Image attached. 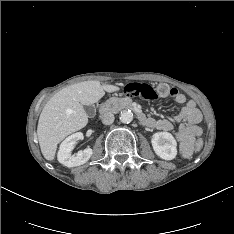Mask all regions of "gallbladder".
I'll list each match as a JSON object with an SVG mask.
<instances>
[{
	"label": "gallbladder",
	"instance_id": "gallbladder-1",
	"mask_svg": "<svg viewBox=\"0 0 234 234\" xmlns=\"http://www.w3.org/2000/svg\"><path fill=\"white\" fill-rule=\"evenodd\" d=\"M85 112L89 115L92 116L95 113V108L92 105L89 106H84Z\"/></svg>",
	"mask_w": 234,
	"mask_h": 234
}]
</instances>
